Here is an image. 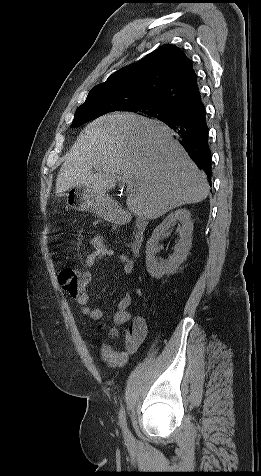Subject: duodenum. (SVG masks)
Instances as JSON below:
<instances>
[{"instance_id":"410a0bca","label":"duodenum","mask_w":261,"mask_h":476,"mask_svg":"<svg viewBox=\"0 0 261 476\" xmlns=\"http://www.w3.org/2000/svg\"><path fill=\"white\" fill-rule=\"evenodd\" d=\"M112 219L117 224H125L129 221L128 215L123 211H116ZM148 223L145 219L139 218L135 222L133 235L130 242V249L133 255H139L144 241Z\"/></svg>"}]
</instances>
